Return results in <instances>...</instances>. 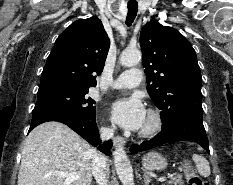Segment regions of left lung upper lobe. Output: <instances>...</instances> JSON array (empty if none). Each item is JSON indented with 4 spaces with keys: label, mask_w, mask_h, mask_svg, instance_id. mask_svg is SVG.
I'll return each instance as SVG.
<instances>
[{
    "label": "left lung upper lobe",
    "mask_w": 233,
    "mask_h": 185,
    "mask_svg": "<svg viewBox=\"0 0 233 185\" xmlns=\"http://www.w3.org/2000/svg\"><path fill=\"white\" fill-rule=\"evenodd\" d=\"M147 91L161 110L162 128L194 104H201L200 67L191 43L176 29L156 19L140 33Z\"/></svg>",
    "instance_id": "left-lung-upper-lobe-1"
}]
</instances>
